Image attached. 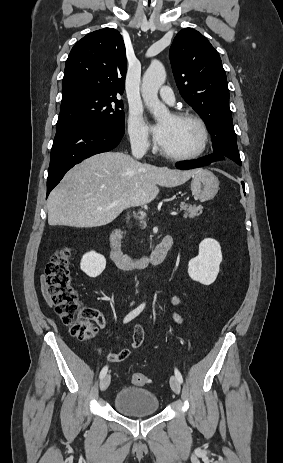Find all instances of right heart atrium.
<instances>
[{
	"label": "right heart atrium",
	"instance_id": "right-heart-atrium-1",
	"mask_svg": "<svg viewBox=\"0 0 283 463\" xmlns=\"http://www.w3.org/2000/svg\"><path fill=\"white\" fill-rule=\"evenodd\" d=\"M128 136L133 147L147 149L150 145L147 126L138 110H131L128 118Z\"/></svg>",
	"mask_w": 283,
	"mask_h": 463
}]
</instances>
